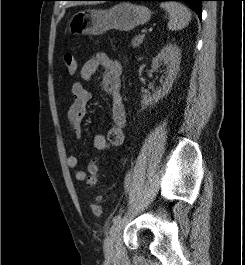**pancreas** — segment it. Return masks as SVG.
Masks as SVG:
<instances>
[{"label": "pancreas", "mask_w": 245, "mask_h": 265, "mask_svg": "<svg viewBox=\"0 0 245 265\" xmlns=\"http://www.w3.org/2000/svg\"><path fill=\"white\" fill-rule=\"evenodd\" d=\"M142 43L143 39L139 35L135 36L131 41V45L133 48L139 47Z\"/></svg>", "instance_id": "obj_1"}]
</instances>
